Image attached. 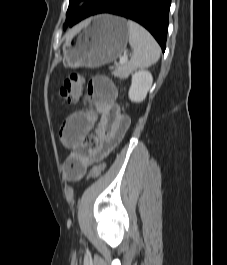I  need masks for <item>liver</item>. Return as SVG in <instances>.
<instances>
[{
    "instance_id": "6515ba94",
    "label": "liver",
    "mask_w": 227,
    "mask_h": 265,
    "mask_svg": "<svg viewBox=\"0 0 227 265\" xmlns=\"http://www.w3.org/2000/svg\"><path fill=\"white\" fill-rule=\"evenodd\" d=\"M80 28H81V27H78L77 29H75V30L69 32V33L67 34V39H71V38L73 37V35L76 33V31H78Z\"/></svg>"
}]
</instances>
